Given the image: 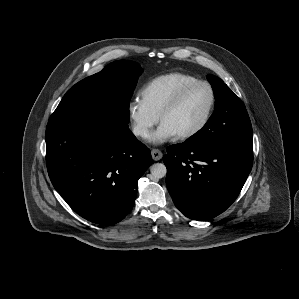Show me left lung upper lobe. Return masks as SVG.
<instances>
[{
    "label": "left lung upper lobe",
    "mask_w": 299,
    "mask_h": 299,
    "mask_svg": "<svg viewBox=\"0 0 299 299\" xmlns=\"http://www.w3.org/2000/svg\"><path fill=\"white\" fill-rule=\"evenodd\" d=\"M207 79L215 95L214 113L205 126L186 141L204 146H252V126L243 102L220 78L209 74Z\"/></svg>",
    "instance_id": "obj_1"
}]
</instances>
